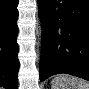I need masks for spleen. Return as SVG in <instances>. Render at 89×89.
Returning a JSON list of instances; mask_svg holds the SVG:
<instances>
[{
	"mask_svg": "<svg viewBox=\"0 0 89 89\" xmlns=\"http://www.w3.org/2000/svg\"><path fill=\"white\" fill-rule=\"evenodd\" d=\"M51 89H89V83L75 76L60 74L52 79Z\"/></svg>",
	"mask_w": 89,
	"mask_h": 89,
	"instance_id": "3e777b00",
	"label": "spleen"
}]
</instances>
